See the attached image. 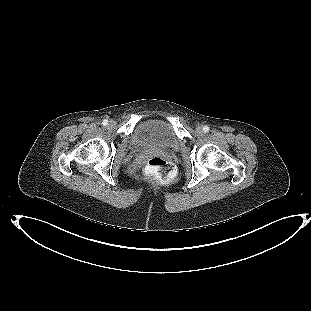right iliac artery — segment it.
I'll use <instances>...</instances> for the list:
<instances>
[{"label":"right iliac artery","instance_id":"1","mask_svg":"<svg viewBox=\"0 0 311 311\" xmlns=\"http://www.w3.org/2000/svg\"><path fill=\"white\" fill-rule=\"evenodd\" d=\"M102 124H103L104 126L108 125V120H106V119L103 120Z\"/></svg>","mask_w":311,"mask_h":311}]
</instances>
